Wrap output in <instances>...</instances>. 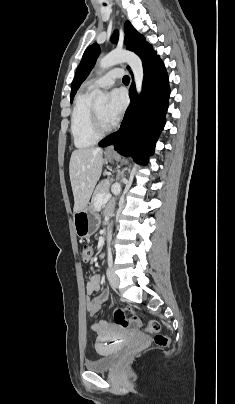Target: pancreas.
I'll return each instance as SVG.
<instances>
[{"label":"pancreas","mask_w":235,"mask_h":404,"mask_svg":"<svg viewBox=\"0 0 235 404\" xmlns=\"http://www.w3.org/2000/svg\"><path fill=\"white\" fill-rule=\"evenodd\" d=\"M110 185H111V181H103V182H101V183H99L98 185H97V187H96V189H95V191H94V193H93V196H92V208L93 209H96V197H97V195L98 194H101V193H105V194H107L108 192H109V187H110Z\"/></svg>","instance_id":"cf45deb5"}]
</instances>
